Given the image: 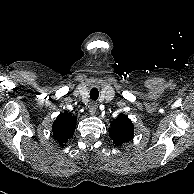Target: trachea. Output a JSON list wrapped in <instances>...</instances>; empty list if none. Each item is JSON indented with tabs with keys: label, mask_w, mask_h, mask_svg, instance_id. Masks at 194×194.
Returning <instances> with one entry per match:
<instances>
[{
	"label": "trachea",
	"mask_w": 194,
	"mask_h": 194,
	"mask_svg": "<svg viewBox=\"0 0 194 194\" xmlns=\"http://www.w3.org/2000/svg\"><path fill=\"white\" fill-rule=\"evenodd\" d=\"M99 96V91L97 88H92L90 90V99L93 101H96L98 99Z\"/></svg>",
	"instance_id": "1"
}]
</instances>
